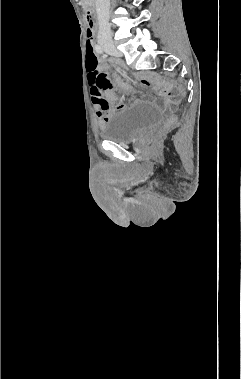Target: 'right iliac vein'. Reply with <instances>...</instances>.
Returning a JSON list of instances; mask_svg holds the SVG:
<instances>
[{
    "instance_id": "right-iliac-vein-1",
    "label": "right iliac vein",
    "mask_w": 241,
    "mask_h": 379,
    "mask_svg": "<svg viewBox=\"0 0 241 379\" xmlns=\"http://www.w3.org/2000/svg\"><path fill=\"white\" fill-rule=\"evenodd\" d=\"M104 49L112 55L120 56V52L116 49L113 43H103Z\"/></svg>"
}]
</instances>
